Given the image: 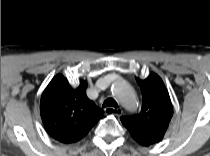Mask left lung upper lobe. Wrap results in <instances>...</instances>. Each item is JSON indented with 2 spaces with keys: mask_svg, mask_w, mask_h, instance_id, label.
<instances>
[{
  "mask_svg": "<svg viewBox=\"0 0 210 156\" xmlns=\"http://www.w3.org/2000/svg\"><path fill=\"white\" fill-rule=\"evenodd\" d=\"M142 91L141 111L121 121L132 138L142 146L160 142L173 116V107L162 79L151 73L145 80L136 78Z\"/></svg>",
  "mask_w": 210,
  "mask_h": 156,
  "instance_id": "left-lung-upper-lobe-1",
  "label": "left lung upper lobe"
}]
</instances>
